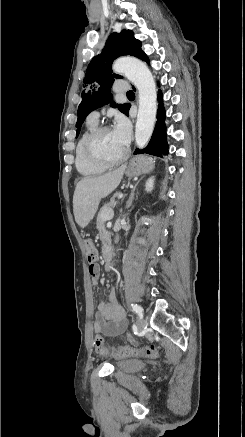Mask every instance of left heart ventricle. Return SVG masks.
<instances>
[{"label": "left heart ventricle", "instance_id": "obj_1", "mask_svg": "<svg viewBox=\"0 0 245 437\" xmlns=\"http://www.w3.org/2000/svg\"><path fill=\"white\" fill-rule=\"evenodd\" d=\"M97 147L100 154L108 159H117L126 151V147L119 142L113 130H109L101 135Z\"/></svg>", "mask_w": 245, "mask_h": 437}]
</instances>
